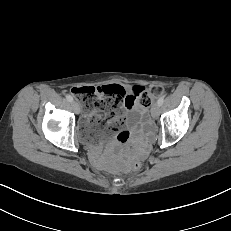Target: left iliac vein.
I'll use <instances>...</instances> for the list:
<instances>
[{
    "label": "left iliac vein",
    "mask_w": 231,
    "mask_h": 231,
    "mask_svg": "<svg viewBox=\"0 0 231 231\" xmlns=\"http://www.w3.org/2000/svg\"><path fill=\"white\" fill-rule=\"evenodd\" d=\"M160 114V106L157 104H154L151 108V115L153 118H158Z\"/></svg>",
    "instance_id": "obj_1"
}]
</instances>
